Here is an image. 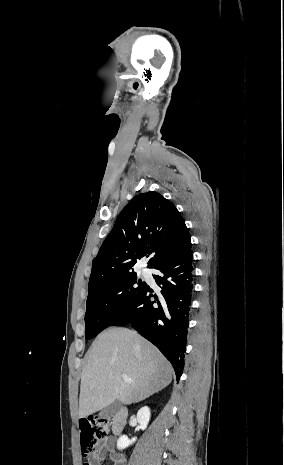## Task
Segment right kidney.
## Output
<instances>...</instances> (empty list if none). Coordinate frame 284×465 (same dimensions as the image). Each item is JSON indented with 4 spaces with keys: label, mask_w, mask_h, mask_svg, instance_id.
<instances>
[{
    "label": "right kidney",
    "mask_w": 284,
    "mask_h": 465,
    "mask_svg": "<svg viewBox=\"0 0 284 465\" xmlns=\"http://www.w3.org/2000/svg\"><path fill=\"white\" fill-rule=\"evenodd\" d=\"M137 421L140 425V429L142 431H145L147 429V425L150 421V411L148 407H142L140 411L137 413ZM136 439H128L126 435H122L120 439L117 441V449H126V447H129V445H132V443H135Z\"/></svg>",
    "instance_id": "right-kidney-1"
}]
</instances>
